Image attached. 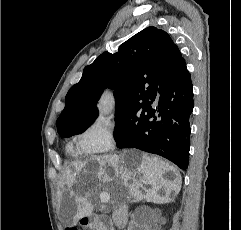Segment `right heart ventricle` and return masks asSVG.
<instances>
[{
    "label": "right heart ventricle",
    "instance_id": "right-heart-ventricle-1",
    "mask_svg": "<svg viewBox=\"0 0 241 230\" xmlns=\"http://www.w3.org/2000/svg\"><path fill=\"white\" fill-rule=\"evenodd\" d=\"M68 150L71 151V152H75V153L84 152V151L80 148V146H78V149H76V150H73L72 146H69V147H68Z\"/></svg>",
    "mask_w": 241,
    "mask_h": 230
}]
</instances>
